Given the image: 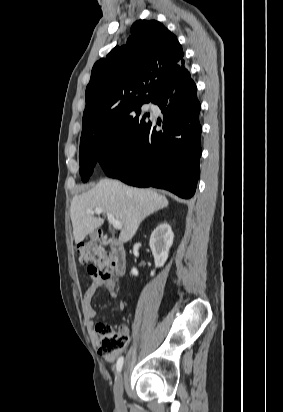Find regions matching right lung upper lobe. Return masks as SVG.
<instances>
[{"label": "right lung upper lobe", "mask_w": 283, "mask_h": 412, "mask_svg": "<svg viewBox=\"0 0 283 412\" xmlns=\"http://www.w3.org/2000/svg\"><path fill=\"white\" fill-rule=\"evenodd\" d=\"M127 44L97 61L86 88L81 139L116 127L132 109L190 77L175 35L155 20L136 21Z\"/></svg>", "instance_id": "cb5924a9"}]
</instances>
